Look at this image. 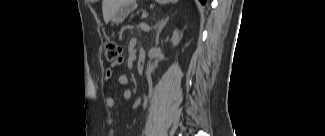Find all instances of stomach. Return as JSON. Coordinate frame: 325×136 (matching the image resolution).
<instances>
[{"instance_id": "obj_1", "label": "stomach", "mask_w": 325, "mask_h": 136, "mask_svg": "<svg viewBox=\"0 0 325 136\" xmlns=\"http://www.w3.org/2000/svg\"><path fill=\"white\" fill-rule=\"evenodd\" d=\"M156 1L161 4L170 2V0H156ZM138 6H139L138 1H125V3L121 5L120 8L116 10L115 13L112 15L111 21L114 23H122L124 19L127 17V15H131L132 12L136 11V8H138Z\"/></svg>"}]
</instances>
